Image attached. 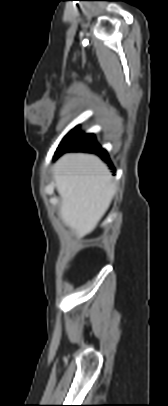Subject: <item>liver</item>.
I'll return each mask as SVG.
<instances>
[{
	"mask_svg": "<svg viewBox=\"0 0 168 406\" xmlns=\"http://www.w3.org/2000/svg\"><path fill=\"white\" fill-rule=\"evenodd\" d=\"M61 197L60 217L78 239L92 232L108 210L116 186L107 166L95 155L68 153L53 170Z\"/></svg>",
	"mask_w": 168,
	"mask_h": 406,
	"instance_id": "6515ba94",
	"label": "liver"
}]
</instances>
